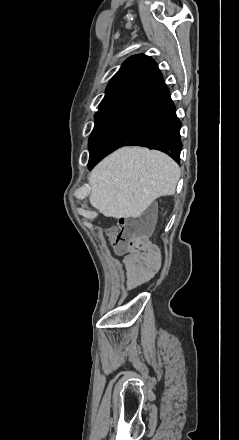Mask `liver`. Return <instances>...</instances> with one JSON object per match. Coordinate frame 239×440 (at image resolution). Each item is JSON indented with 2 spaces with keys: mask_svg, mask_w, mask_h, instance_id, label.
I'll return each mask as SVG.
<instances>
[{
  "mask_svg": "<svg viewBox=\"0 0 239 440\" xmlns=\"http://www.w3.org/2000/svg\"><path fill=\"white\" fill-rule=\"evenodd\" d=\"M180 176L163 152L125 146L92 170L89 202L106 218H139L156 198L175 194Z\"/></svg>",
  "mask_w": 239,
  "mask_h": 440,
  "instance_id": "6515ba94",
  "label": "liver"
}]
</instances>
